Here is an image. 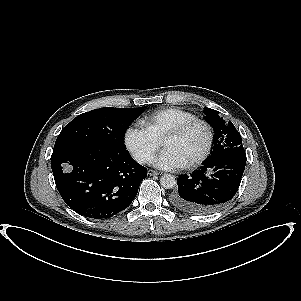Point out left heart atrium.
Wrapping results in <instances>:
<instances>
[{"label": "left heart atrium", "mask_w": 301, "mask_h": 301, "mask_svg": "<svg viewBox=\"0 0 301 301\" xmlns=\"http://www.w3.org/2000/svg\"><path fill=\"white\" fill-rule=\"evenodd\" d=\"M152 164L164 170H178L187 165V161L170 149H164L152 159Z\"/></svg>", "instance_id": "obj_1"}]
</instances>
